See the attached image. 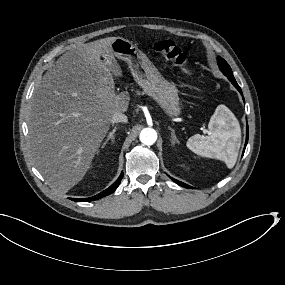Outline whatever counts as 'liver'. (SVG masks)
Masks as SVG:
<instances>
[{"instance_id": "1", "label": "liver", "mask_w": 285, "mask_h": 285, "mask_svg": "<svg viewBox=\"0 0 285 285\" xmlns=\"http://www.w3.org/2000/svg\"><path fill=\"white\" fill-rule=\"evenodd\" d=\"M114 40L76 46L36 83L27 120L29 153L47 183L62 194L83 180L113 114L128 110L129 92L115 93L114 77L123 73L111 48Z\"/></svg>"}]
</instances>
